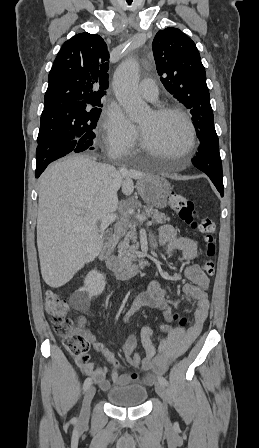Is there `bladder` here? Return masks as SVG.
<instances>
[{
	"label": "bladder",
	"instance_id": "1",
	"mask_svg": "<svg viewBox=\"0 0 259 448\" xmlns=\"http://www.w3.org/2000/svg\"><path fill=\"white\" fill-rule=\"evenodd\" d=\"M148 396L145 386L131 384L110 389L107 392V400L120 407H136L142 405Z\"/></svg>",
	"mask_w": 259,
	"mask_h": 448
}]
</instances>
